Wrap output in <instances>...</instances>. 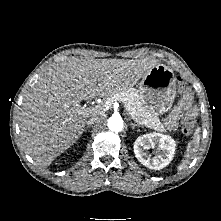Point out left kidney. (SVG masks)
Instances as JSON below:
<instances>
[{
    "label": "left kidney",
    "mask_w": 221,
    "mask_h": 221,
    "mask_svg": "<svg viewBox=\"0 0 221 221\" xmlns=\"http://www.w3.org/2000/svg\"><path fill=\"white\" fill-rule=\"evenodd\" d=\"M158 146L159 153L151 157L146 152L150 147ZM176 143L168 135L149 133L139 136L134 143V153L138 161L149 169L160 170L166 167L174 157Z\"/></svg>",
    "instance_id": "5707ae66"
}]
</instances>
